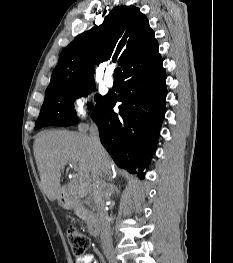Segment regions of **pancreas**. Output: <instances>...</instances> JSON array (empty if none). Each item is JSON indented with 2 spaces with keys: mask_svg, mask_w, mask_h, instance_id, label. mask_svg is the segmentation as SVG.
I'll return each instance as SVG.
<instances>
[{
  "mask_svg": "<svg viewBox=\"0 0 233 263\" xmlns=\"http://www.w3.org/2000/svg\"><path fill=\"white\" fill-rule=\"evenodd\" d=\"M75 198L77 201L80 202V192L77 191L75 193ZM75 214L81 218L82 220H84L88 225H90L93 220H94V216L92 211L87 208L86 206H84L83 204H77L75 206Z\"/></svg>",
  "mask_w": 233,
  "mask_h": 263,
  "instance_id": "obj_1",
  "label": "pancreas"
}]
</instances>
